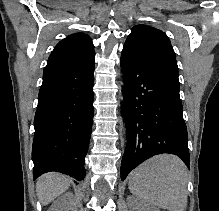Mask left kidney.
<instances>
[{
    "mask_svg": "<svg viewBox=\"0 0 219 211\" xmlns=\"http://www.w3.org/2000/svg\"><path fill=\"white\" fill-rule=\"evenodd\" d=\"M133 211H160V209L152 205H142V207H134Z\"/></svg>",
    "mask_w": 219,
    "mask_h": 211,
    "instance_id": "5707ae66",
    "label": "left kidney"
}]
</instances>
